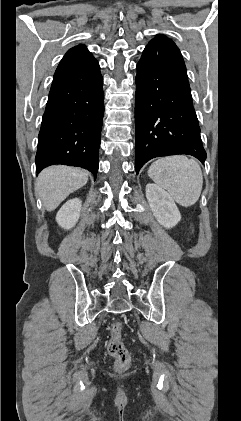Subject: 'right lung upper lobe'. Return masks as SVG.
<instances>
[{
	"instance_id": "cb5924a9",
	"label": "right lung upper lobe",
	"mask_w": 241,
	"mask_h": 421,
	"mask_svg": "<svg viewBox=\"0 0 241 421\" xmlns=\"http://www.w3.org/2000/svg\"><path fill=\"white\" fill-rule=\"evenodd\" d=\"M89 57H92V54L87 50V48L84 45L75 46L68 50L63 59L60 61L56 71L72 62Z\"/></svg>"
}]
</instances>
